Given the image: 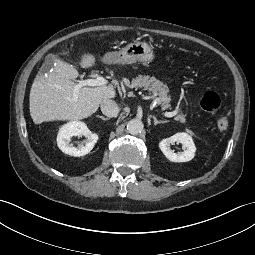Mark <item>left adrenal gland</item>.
Returning <instances> with one entry per match:
<instances>
[{
	"instance_id": "obj_1",
	"label": "left adrenal gland",
	"mask_w": 255,
	"mask_h": 255,
	"mask_svg": "<svg viewBox=\"0 0 255 255\" xmlns=\"http://www.w3.org/2000/svg\"><path fill=\"white\" fill-rule=\"evenodd\" d=\"M152 118H153V120H154V125L156 126L157 124H161V123H168L169 121L168 120H164V121H158L157 119H156V117L155 116H151Z\"/></svg>"
}]
</instances>
